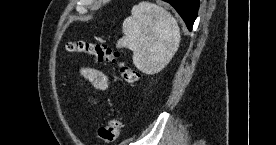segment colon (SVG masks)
<instances>
[{
	"instance_id": "colon-1",
	"label": "colon",
	"mask_w": 276,
	"mask_h": 145,
	"mask_svg": "<svg viewBox=\"0 0 276 145\" xmlns=\"http://www.w3.org/2000/svg\"><path fill=\"white\" fill-rule=\"evenodd\" d=\"M66 49L72 53L86 54L95 58L97 62H109L116 63L119 67V73L121 78L127 83H135L138 80V72L124 64L120 60V52L100 43H92L89 41H71L67 43ZM123 127V122L121 117L115 116L110 118L104 125L100 126L98 129V137L101 142L105 144L113 143L120 136Z\"/></svg>"
}]
</instances>
